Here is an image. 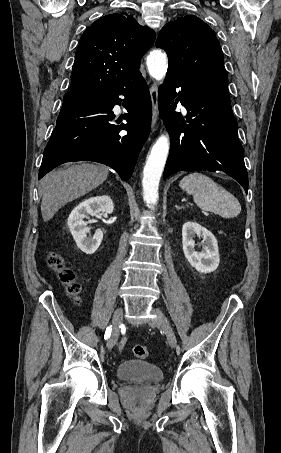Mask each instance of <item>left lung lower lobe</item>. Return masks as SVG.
<instances>
[{
	"label": "left lung lower lobe",
	"instance_id": "left-lung-lower-lobe-1",
	"mask_svg": "<svg viewBox=\"0 0 281 453\" xmlns=\"http://www.w3.org/2000/svg\"><path fill=\"white\" fill-rule=\"evenodd\" d=\"M178 101L187 109L189 124L174 111ZM159 106L171 138L164 179L178 171L221 170L247 193L244 150L238 140L228 86L191 84L167 72L159 88Z\"/></svg>",
	"mask_w": 281,
	"mask_h": 453
}]
</instances>
